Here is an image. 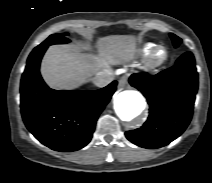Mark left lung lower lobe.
<instances>
[{"mask_svg": "<svg viewBox=\"0 0 212 183\" xmlns=\"http://www.w3.org/2000/svg\"><path fill=\"white\" fill-rule=\"evenodd\" d=\"M130 84L140 90L149 104V117L141 128L125 133L132 143L149 149L163 147L187 128L191 121L198 73L191 52L157 75H132Z\"/></svg>", "mask_w": 212, "mask_h": 183, "instance_id": "obj_1", "label": "left lung lower lobe"}]
</instances>
